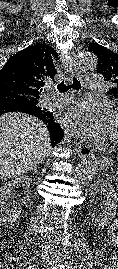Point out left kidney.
Listing matches in <instances>:
<instances>
[{
  "instance_id": "obj_1",
  "label": "left kidney",
  "mask_w": 118,
  "mask_h": 269,
  "mask_svg": "<svg viewBox=\"0 0 118 269\" xmlns=\"http://www.w3.org/2000/svg\"><path fill=\"white\" fill-rule=\"evenodd\" d=\"M97 192H101L104 196V209L102 214L92 218L93 225L99 229L107 227V225L114 219L117 207H118V197L115 192L114 187L111 184L106 183L103 180L98 179L91 186V195H94Z\"/></svg>"
}]
</instances>
